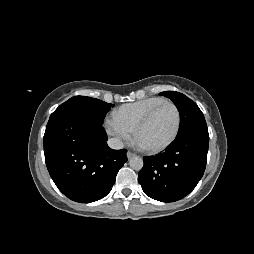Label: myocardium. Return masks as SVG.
Returning <instances> with one entry per match:
<instances>
[{
	"label": "myocardium",
	"instance_id": "f54148a6",
	"mask_svg": "<svg viewBox=\"0 0 254 254\" xmlns=\"http://www.w3.org/2000/svg\"><path fill=\"white\" fill-rule=\"evenodd\" d=\"M164 105H171L175 111H176V116H177V121H176V126L174 129L173 134L171 135V137L164 142L163 144L156 146V147H146L144 146L145 150L148 151L149 153H159L165 149H167L177 138L179 131H180V127H181V113H180V109L177 106L176 103H174L173 101L170 100H165L161 103H159L158 105H156L153 109H151L143 118L142 120L137 124L136 128H135V136L138 139L139 138V134L141 132V130L152 120V118L155 116V114L164 106Z\"/></svg>",
	"mask_w": 254,
	"mask_h": 254
}]
</instances>
